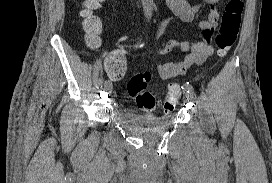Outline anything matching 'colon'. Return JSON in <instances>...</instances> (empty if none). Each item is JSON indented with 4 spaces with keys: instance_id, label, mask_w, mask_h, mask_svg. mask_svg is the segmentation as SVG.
Segmentation results:
<instances>
[{
    "instance_id": "1",
    "label": "colon",
    "mask_w": 272,
    "mask_h": 183,
    "mask_svg": "<svg viewBox=\"0 0 272 183\" xmlns=\"http://www.w3.org/2000/svg\"><path fill=\"white\" fill-rule=\"evenodd\" d=\"M103 1L104 0H85L84 2L82 16L87 34V43L90 47L97 46V35L101 31V22L93 15V10ZM243 8V0H229L225 7L221 25L215 36L217 54L219 57H224L237 39ZM150 78L151 76L148 72L138 73L131 77L127 85L129 95L135 99L137 106L144 111H152L156 106L154 95L147 90ZM180 97L181 92L179 87L174 86L171 88L167 95L159 102L162 110L164 112L172 111L179 102Z\"/></svg>"
}]
</instances>
